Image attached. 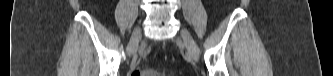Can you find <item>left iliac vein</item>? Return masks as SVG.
<instances>
[{
    "mask_svg": "<svg viewBox=\"0 0 333 76\" xmlns=\"http://www.w3.org/2000/svg\"><path fill=\"white\" fill-rule=\"evenodd\" d=\"M180 36H181L182 40L184 41V44L186 46L188 53L193 57L194 60H198L199 49H198L196 42L192 38L190 32L186 29H182L180 32Z\"/></svg>",
    "mask_w": 333,
    "mask_h": 76,
    "instance_id": "left-iliac-vein-1",
    "label": "left iliac vein"
}]
</instances>
